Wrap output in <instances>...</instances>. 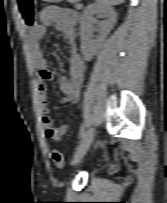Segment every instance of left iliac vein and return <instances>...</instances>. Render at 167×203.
<instances>
[{"label":"left iliac vein","mask_w":167,"mask_h":203,"mask_svg":"<svg viewBox=\"0 0 167 203\" xmlns=\"http://www.w3.org/2000/svg\"><path fill=\"white\" fill-rule=\"evenodd\" d=\"M94 136H95V129L93 127H91L83 135V138L80 141V144L78 145V147L74 153V156L72 159L73 164L79 162L83 158V156L89 149V147L94 139Z\"/></svg>","instance_id":"1"}]
</instances>
